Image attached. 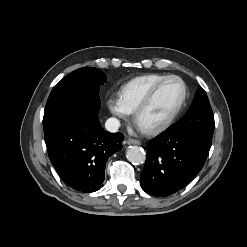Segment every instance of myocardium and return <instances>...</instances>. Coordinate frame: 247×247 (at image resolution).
Here are the masks:
<instances>
[{"mask_svg": "<svg viewBox=\"0 0 247 247\" xmlns=\"http://www.w3.org/2000/svg\"><path fill=\"white\" fill-rule=\"evenodd\" d=\"M178 80L181 82V84L183 85V97L179 103V105L177 106V108L175 109V111L163 122H161L160 124H157L153 127L150 128H142L140 126L139 120L141 115L144 113V111L150 106V104L152 103L153 99L155 98L156 94L158 93V91L161 89V87L168 81L170 80ZM188 86L186 84V82L179 76L177 75H168L167 77H165L164 79H162L161 81H159L150 91L149 93L146 95V97L143 99V101L139 104V106L137 107V109L134 112V121L136 123V125L138 127H140L142 129V131H144L146 134L149 135H156L159 133H162L163 131H165L166 129H168L173 123L174 121L178 118V116L180 115V113L182 112L187 98H188Z\"/></svg>", "mask_w": 247, "mask_h": 247, "instance_id": "obj_1", "label": "myocardium"}]
</instances>
